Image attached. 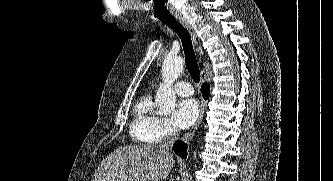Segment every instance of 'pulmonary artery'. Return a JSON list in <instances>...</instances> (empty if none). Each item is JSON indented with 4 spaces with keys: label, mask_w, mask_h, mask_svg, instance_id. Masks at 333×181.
<instances>
[{
    "label": "pulmonary artery",
    "mask_w": 333,
    "mask_h": 181,
    "mask_svg": "<svg viewBox=\"0 0 333 181\" xmlns=\"http://www.w3.org/2000/svg\"><path fill=\"white\" fill-rule=\"evenodd\" d=\"M174 91L177 95L187 97L193 94V89L188 82L180 81L174 86Z\"/></svg>",
    "instance_id": "pulmonary-artery-1"
}]
</instances>
